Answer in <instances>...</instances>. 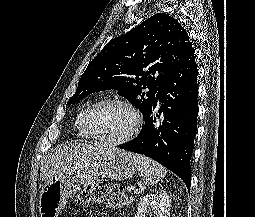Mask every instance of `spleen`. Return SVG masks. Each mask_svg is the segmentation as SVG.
<instances>
[{"label":"spleen","mask_w":255,"mask_h":217,"mask_svg":"<svg viewBox=\"0 0 255 217\" xmlns=\"http://www.w3.org/2000/svg\"><path fill=\"white\" fill-rule=\"evenodd\" d=\"M135 167L143 174L146 185H154L166 176V169L156 161L139 154L129 153Z\"/></svg>","instance_id":"spleen-1"}]
</instances>
